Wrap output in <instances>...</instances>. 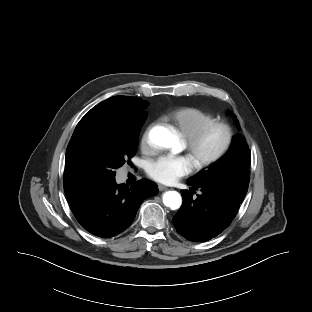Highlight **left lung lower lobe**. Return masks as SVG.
I'll use <instances>...</instances> for the list:
<instances>
[{
	"instance_id": "0a47b994",
	"label": "left lung lower lobe",
	"mask_w": 312,
	"mask_h": 312,
	"mask_svg": "<svg viewBox=\"0 0 312 312\" xmlns=\"http://www.w3.org/2000/svg\"><path fill=\"white\" fill-rule=\"evenodd\" d=\"M193 188L182 190L183 204L173 217L177 232L194 242L208 241L225 230L234 219L242 202L226 189L208 184H193ZM202 193L192 198L193 189Z\"/></svg>"
}]
</instances>
